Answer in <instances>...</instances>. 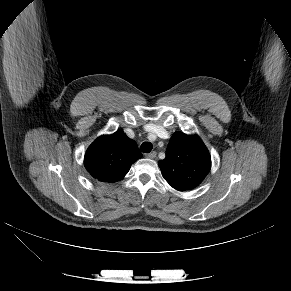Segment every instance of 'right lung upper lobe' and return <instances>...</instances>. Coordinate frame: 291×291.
Here are the masks:
<instances>
[{
    "label": "right lung upper lobe",
    "mask_w": 291,
    "mask_h": 291,
    "mask_svg": "<svg viewBox=\"0 0 291 291\" xmlns=\"http://www.w3.org/2000/svg\"><path fill=\"white\" fill-rule=\"evenodd\" d=\"M141 157L136 142L118 130L97 138L87 149L84 164L98 181L114 183L122 180Z\"/></svg>",
    "instance_id": "right-lung-upper-lobe-1"
}]
</instances>
